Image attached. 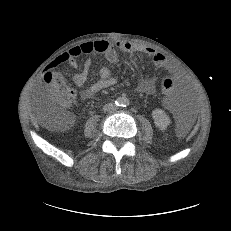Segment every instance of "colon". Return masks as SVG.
I'll list each match as a JSON object with an SVG mask.
<instances>
[{
  "label": "colon",
  "mask_w": 231,
  "mask_h": 231,
  "mask_svg": "<svg viewBox=\"0 0 231 231\" xmlns=\"http://www.w3.org/2000/svg\"><path fill=\"white\" fill-rule=\"evenodd\" d=\"M44 79L55 86L47 92L48 106L42 111L43 122L51 130H62L71 123V116L66 108L73 100V90L64 86L61 77L53 71H47ZM160 88L164 92H172L176 88V83L173 78L164 77L160 81Z\"/></svg>",
  "instance_id": "1"
}]
</instances>
